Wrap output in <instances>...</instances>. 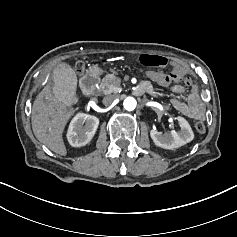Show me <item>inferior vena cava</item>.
<instances>
[{
	"label": "inferior vena cava",
	"instance_id": "obj_1",
	"mask_svg": "<svg viewBox=\"0 0 237 237\" xmlns=\"http://www.w3.org/2000/svg\"><path fill=\"white\" fill-rule=\"evenodd\" d=\"M117 98V95H107L103 98L102 103L104 105H111L116 101Z\"/></svg>",
	"mask_w": 237,
	"mask_h": 237
}]
</instances>
